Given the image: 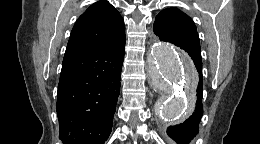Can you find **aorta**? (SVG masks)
<instances>
[{
	"mask_svg": "<svg viewBox=\"0 0 260 144\" xmlns=\"http://www.w3.org/2000/svg\"><path fill=\"white\" fill-rule=\"evenodd\" d=\"M153 86L170 91L157 101L163 119L182 118L189 112L187 89L193 66L188 55L169 43L156 42L150 53Z\"/></svg>",
	"mask_w": 260,
	"mask_h": 144,
	"instance_id": "obj_1",
	"label": "aorta"
}]
</instances>
